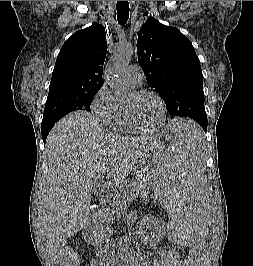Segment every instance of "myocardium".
I'll use <instances>...</instances> for the list:
<instances>
[{
    "label": "myocardium",
    "mask_w": 253,
    "mask_h": 266,
    "mask_svg": "<svg viewBox=\"0 0 253 266\" xmlns=\"http://www.w3.org/2000/svg\"><path fill=\"white\" fill-rule=\"evenodd\" d=\"M132 94L135 97H140V96L147 95V94L153 95L159 101L161 110H162V116H161V120L159 124L152 128H144L140 126L139 123L137 122V119L135 117V114L132 108L128 104H126L125 111L128 117L129 124L132 127V129L136 132L145 133V134L154 133L162 129L167 120V106L161 94L152 89H139V90H135Z\"/></svg>",
    "instance_id": "obj_1"
}]
</instances>
